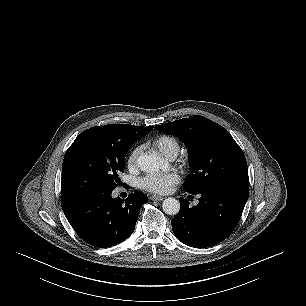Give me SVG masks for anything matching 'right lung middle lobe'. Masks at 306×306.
<instances>
[{"mask_svg":"<svg viewBox=\"0 0 306 306\" xmlns=\"http://www.w3.org/2000/svg\"><path fill=\"white\" fill-rule=\"evenodd\" d=\"M139 138L104 130L82 132L67 150L62 165L61 203L113 191L124 172V158Z\"/></svg>","mask_w":306,"mask_h":306,"instance_id":"right-lung-middle-lobe-1","label":"right lung middle lobe"}]
</instances>
